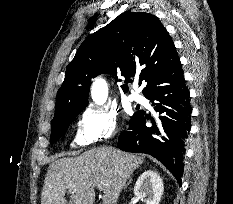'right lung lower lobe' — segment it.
Wrapping results in <instances>:
<instances>
[{
  "instance_id": "98d812e1",
  "label": "right lung lower lobe",
  "mask_w": 233,
  "mask_h": 204,
  "mask_svg": "<svg viewBox=\"0 0 233 204\" xmlns=\"http://www.w3.org/2000/svg\"><path fill=\"white\" fill-rule=\"evenodd\" d=\"M143 94L160 114L157 125L152 120L153 127L145 126L148 116L138 111L130 121L129 131L120 134L118 146L123 151L154 156L180 184L192 111L180 61L155 79Z\"/></svg>"
}]
</instances>
